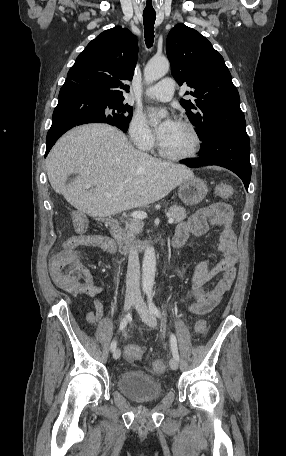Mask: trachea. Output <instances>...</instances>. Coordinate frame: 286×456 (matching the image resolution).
<instances>
[{"label": "trachea", "mask_w": 286, "mask_h": 456, "mask_svg": "<svg viewBox=\"0 0 286 456\" xmlns=\"http://www.w3.org/2000/svg\"><path fill=\"white\" fill-rule=\"evenodd\" d=\"M156 19V13L154 12H144L143 21H144V34L145 42L148 48L152 47L154 42V23Z\"/></svg>", "instance_id": "1"}]
</instances>
